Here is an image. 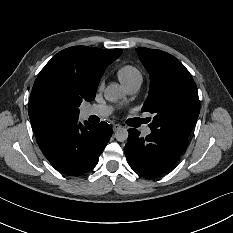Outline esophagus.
I'll return each instance as SVG.
<instances>
[{
    "label": "esophagus",
    "mask_w": 233,
    "mask_h": 233,
    "mask_svg": "<svg viewBox=\"0 0 233 233\" xmlns=\"http://www.w3.org/2000/svg\"><path fill=\"white\" fill-rule=\"evenodd\" d=\"M122 128V125L121 124H114L113 125V131L115 132V131H117V130H119V129H121Z\"/></svg>",
    "instance_id": "34e87169"
}]
</instances>
